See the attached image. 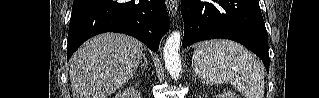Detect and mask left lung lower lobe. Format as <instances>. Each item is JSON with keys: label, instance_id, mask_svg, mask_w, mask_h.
Returning <instances> with one entry per match:
<instances>
[{"label": "left lung lower lobe", "instance_id": "obj_1", "mask_svg": "<svg viewBox=\"0 0 319 98\" xmlns=\"http://www.w3.org/2000/svg\"><path fill=\"white\" fill-rule=\"evenodd\" d=\"M182 45L224 38L241 43L263 61L269 72L267 31L258 0H181Z\"/></svg>", "mask_w": 319, "mask_h": 98}]
</instances>
